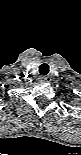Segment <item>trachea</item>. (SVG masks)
<instances>
[{
  "label": "trachea",
  "instance_id": "1",
  "mask_svg": "<svg viewBox=\"0 0 81 155\" xmlns=\"http://www.w3.org/2000/svg\"><path fill=\"white\" fill-rule=\"evenodd\" d=\"M39 72L41 75H47L49 72V66L46 63H43L39 66Z\"/></svg>",
  "mask_w": 81,
  "mask_h": 155
}]
</instances>
